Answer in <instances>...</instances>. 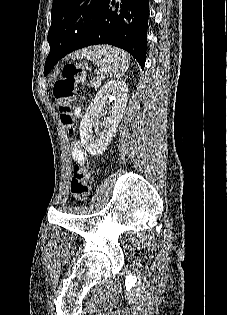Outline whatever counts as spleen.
Masks as SVG:
<instances>
[{
	"label": "spleen",
	"instance_id": "obj_1",
	"mask_svg": "<svg viewBox=\"0 0 227 315\" xmlns=\"http://www.w3.org/2000/svg\"><path fill=\"white\" fill-rule=\"evenodd\" d=\"M75 58H88L100 65V72H108L111 78L118 79L128 70L129 58L120 49L107 46L93 47L76 52ZM97 86V85H94Z\"/></svg>",
	"mask_w": 227,
	"mask_h": 315
}]
</instances>
